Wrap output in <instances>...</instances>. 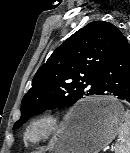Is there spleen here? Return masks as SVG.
<instances>
[{"label":"spleen","mask_w":130,"mask_h":153,"mask_svg":"<svg viewBox=\"0 0 130 153\" xmlns=\"http://www.w3.org/2000/svg\"><path fill=\"white\" fill-rule=\"evenodd\" d=\"M115 153H130V111L124 113V122L118 128Z\"/></svg>","instance_id":"obj_1"}]
</instances>
